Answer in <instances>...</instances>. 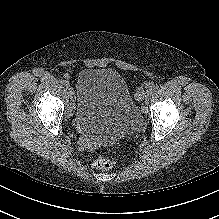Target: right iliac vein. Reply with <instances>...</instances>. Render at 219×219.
Returning <instances> with one entry per match:
<instances>
[{
    "instance_id": "obj_1",
    "label": "right iliac vein",
    "mask_w": 219,
    "mask_h": 219,
    "mask_svg": "<svg viewBox=\"0 0 219 219\" xmlns=\"http://www.w3.org/2000/svg\"><path fill=\"white\" fill-rule=\"evenodd\" d=\"M68 92H69L71 98H73V96H74V91H73V88H72V87H70V86L68 87Z\"/></svg>"
}]
</instances>
